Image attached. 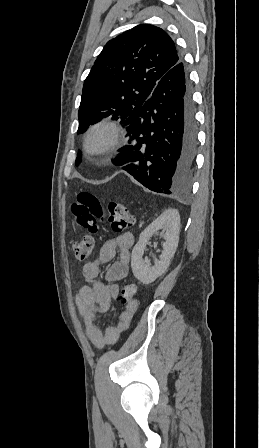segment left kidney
Segmentation results:
<instances>
[{"label": "left kidney", "instance_id": "5707ae66", "mask_svg": "<svg viewBox=\"0 0 259 448\" xmlns=\"http://www.w3.org/2000/svg\"><path fill=\"white\" fill-rule=\"evenodd\" d=\"M163 230L165 234H162V238L166 240L163 244V252L160 256V260H156L154 266L149 268L148 264L143 262V254L146 248V244L150 238H152L155 232ZM179 230H180V216L178 210L170 208L165 210L157 220H154L142 234H140L139 242L133 248L131 256V268L132 272L142 284H152L156 278L163 276L167 268H169L170 260L173 258L178 242H179Z\"/></svg>", "mask_w": 259, "mask_h": 448}]
</instances>
